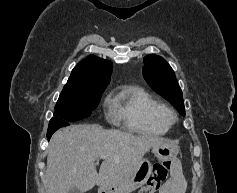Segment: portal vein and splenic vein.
Listing matches in <instances>:
<instances>
[{"label": "portal vein and splenic vein", "instance_id": "portal-vein-and-splenic-vein-1", "mask_svg": "<svg viewBox=\"0 0 237 193\" xmlns=\"http://www.w3.org/2000/svg\"><path fill=\"white\" fill-rule=\"evenodd\" d=\"M105 158H107V156L101 155L98 159H105Z\"/></svg>", "mask_w": 237, "mask_h": 193}]
</instances>
